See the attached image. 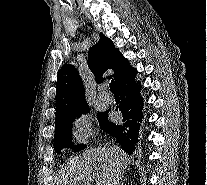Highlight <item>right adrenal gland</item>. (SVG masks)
I'll use <instances>...</instances> for the list:
<instances>
[{
  "label": "right adrenal gland",
  "instance_id": "obj_1",
  "mask_svg": "<svg viewBox=\"0 0 207 185\" xmlns=\"http://www.w3.org/2000/svg\"><path fill=\"white\" fill-rule=\"evenodd\" d=\"M121 185H124L123 181H121Z\"/></svg>",
  "mask_w": 207,
  "mask_h": 185
}]
</instances>
